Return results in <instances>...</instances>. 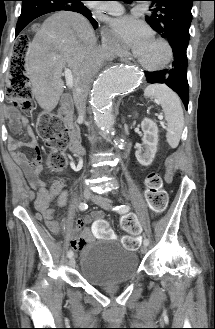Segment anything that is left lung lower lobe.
I'll return each mask as SVG.
<instances>
[{
    "label": "left lung lower lobe",
    "mask_w": 215,
    "mask_h": 329,
    "mask_svg": "<svg viewBox=\"0 0 215 329\" xmlns=\"http://www.w3.org/2000/svg\"><path fill=\"white\" fill-rule=\"evenodd\" d=\"M172 47L174 61L170 69L146 72L149 83H162L169 86L181 98L185 108H188L189 85L187 80V47L188 43L182 39L171 37L167 39Z\"/></svg>",
    "instance_id": "1"
}]
</instances>
